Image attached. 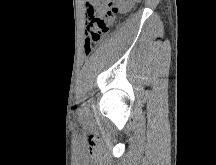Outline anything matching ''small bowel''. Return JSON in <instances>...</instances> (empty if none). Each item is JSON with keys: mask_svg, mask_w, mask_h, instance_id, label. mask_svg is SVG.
Instances as JSON below:
<instances>
[{"mask_svg": "<svg viewBox=\"0 0 216 165\" xmlns=\"http://www.w3.org/2000/svg\"><path fill=\"white\" fill-rule=\"evenodd\" d=\"M138 0H131V3L137 2ZM87 10H96L100 11L105 10L108 0H87Z\"/></svg>", "mask_w": 216, "mask_h": 165, "instance_id": "1", "label": "small bowel"}]
</instances>
